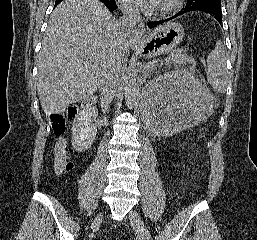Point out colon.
Wrapping results in <instances>:
<instances>
[{"instance_id": "colon-1", "label": "colon", "mask_w": 257, "mask_h": 240, "mask_svg": "<svg viewBox=\"0 0 257 240\" xmlns=\"http://www.w3.org/2000/svg\"><path fill=\"white\" fill-rule=\"evenodd\" d=\"M75 114V109L72 108L69 111V115L73 116ZM50 124L52 130L56 136H60L65 131V118L63 115L54 113L50 115ZM57 167L61 171H70L73 168V164L71 162H64L63 159H57Z\"/></svg>"}]
</instances>
